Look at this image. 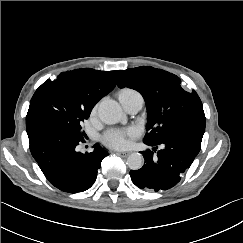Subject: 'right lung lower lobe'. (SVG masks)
I'll return each instance as SVG.
<instances>
[{
    "label": "right lung lower lobe",
    "instance_id": "1",
    "mask_svg": "<svg viewBox=\"0 0 243 243\" xmlns=\"http://www.w3.org/2000/svg\"><path fill=\"white\" fill-rule=\"evenodd\" d=\"M26 130L32 156L53 186L68 193L82 192L92 186L107 151L96 144L91 153L77 152L76 146L84 138L50 120L26 121Z\"/></svg>",
    "mask_w": 243,
    "mask_h": 243
}]
</instances>
